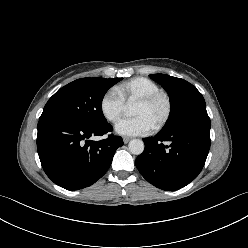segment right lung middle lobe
<instances>
[{"instance_id": "obj_1", "label": "right lung middle lobe", "mask_w": 248, "mask_h": 248, "mask_svg": "<svg viewBox=\"0 0 248 248\" xmlns=\"http://www.w3.org/2000/svg\"><path fill=\"white\" fill-rule=\"evenodd\" d=\"M122 78H82L59 89L46 103L39 120L64 117L87 125L107 123L102 100Z\"/></svg>"}]
</instances>
